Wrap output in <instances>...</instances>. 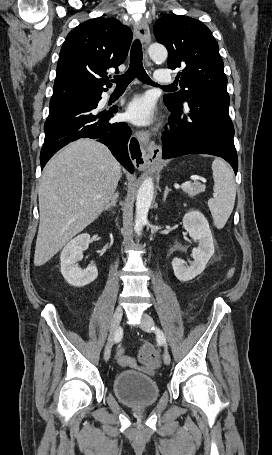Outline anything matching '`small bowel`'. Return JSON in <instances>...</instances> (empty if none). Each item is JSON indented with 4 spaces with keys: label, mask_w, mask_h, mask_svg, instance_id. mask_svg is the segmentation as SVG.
I'll list each match as a JSON object with an SVG mask.
<instances>
[{
    "label": "small bowel",
    "mask_w": 272,
    "mask_h": 455,
    "mask_svg": "<svg viewBox=\"0 0 272 455\" xmlns=\"http://www.w3.org/2000/svg\"><path fill=\"white\" fill-rule=\"evenodd\" d=\"M232 275H233V270H231L228 273L229 277H232ZM116 359H117L118 364L124 368H134V369H139V370L145 371L149 374L153 373V367L151 365H144V366L139 365L134 358L124 355L122 349H120L118 351V353L116 355Z\"/></svg>",
    "instance_id": "obj_1"
}]
</instances>
